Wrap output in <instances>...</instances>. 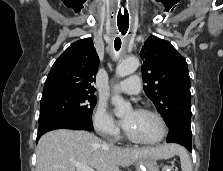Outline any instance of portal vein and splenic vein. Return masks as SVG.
<instances>
[{
	"mask_svg": "<svg viewBox=\"0 0 223 171\" xmlns=\"http://www.w3.org/2000/svg\"><path fill=\"white\" fill-rule=\"evenodd\" d=\"M74 165L77 171H95L93 168L83 165V164L75 163Z\"/></svg>",
	"mask_w": 223,
	"mask_h": 171,
	"instance_id": "1",
	"label": "portal vein and splenic vein"
}]
</instances>
